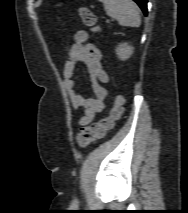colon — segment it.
Returning a JSON list of instances; mask_svg holds the SVG:
<instances>
[{"mask_svg":"<svg viewBox=\"0 0 188 213\" xmlns=\"http://www.w3.org/2000/svg\"><path fill=\"white\" fill-rule=\"evenodd\" d=\"M78 15L82 22L91 27L93 30H97V17L91 9L82 6L78 8ZM124 98L118 94L115 96L113 105L109 111V114L97 122L82 127L77 134V143L80 146H86L98 139H101L105 134L113 127L116 120L120 118L123 112Z\"/></svg>","mask_w":188,"mask_h":213,"instance_id":"1","label":"colon"}]
</instances>
